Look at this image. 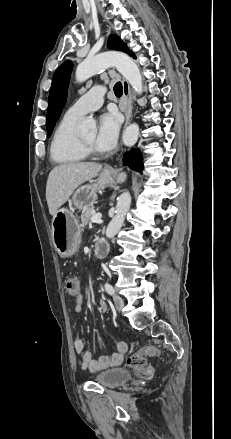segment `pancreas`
<instances>
[{
    "instance_id": "obj_1",
    "label": "pancreas",
    "mask_w": 231,
    "mask_h": 439,
    "mask_svg": "<svg viewBox=\"0 0 231 439\" xmlns=\"http://www.w3.org/2000/svg\"><path fill=\"white\" fill-rule=\"evenodd\" d=\"M94 214H95V210L93 207L84 210L82 215H81L82 226H86V225L90 224L91 217Z\"/></svg>"
}]
</instances>
